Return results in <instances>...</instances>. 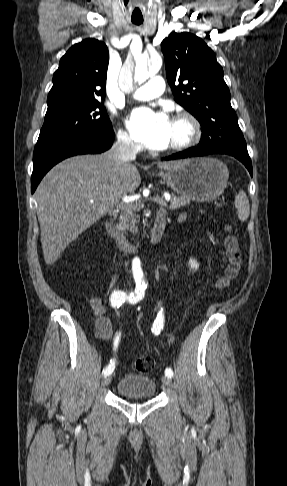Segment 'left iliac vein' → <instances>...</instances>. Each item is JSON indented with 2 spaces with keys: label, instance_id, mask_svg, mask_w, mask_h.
Instances as JSON below:
<instances>
[{
  "label": "left iliac vein",
  "instance_id": "4c4485c4",
  "mask_svg": "<svg viewBox=\"0 0 287 486\" xmlns=\"http://www.w3.org/2000/svg\"><path fill=\"white\" fill-rule=\"evenodd\" d=\"M162 383L164 384V386H167V387H170L171 386V379L167 376H163L162 377Z\"/></svg>",
  "mask_w": 287,
  "mask_h": 486
}]
</instances>
